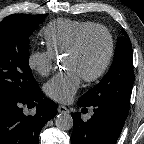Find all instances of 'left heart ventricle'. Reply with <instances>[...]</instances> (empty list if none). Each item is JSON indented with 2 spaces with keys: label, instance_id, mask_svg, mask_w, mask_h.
I'll return each mask as SVG.
<instances>
[{
  "label": "left heart ventricle",
  "instance_id": "1",
  "mask_svg": "<svg viewBox=\"0 0 144 144\" xmlns=\"http://www.w3.org/2000/svg\"><path fill=\"white\" fill-rule=\"evenodd\" d=\"M108 51L104 33L93 31L86 36L77 52L66 55L64 65L76 69L82 78L94 74L103 64Z\"/></svg>",
  "mask_w": 144,
  "mask_h": 144
}]
</instances>
